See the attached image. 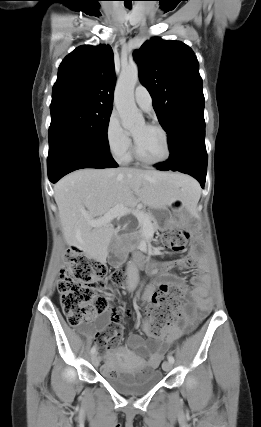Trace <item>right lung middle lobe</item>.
I'll return each instance as SVG.
<instances>
[{
    "mask_svg": "<svg viewBox=\"0 0 261 427\" xmlns=\"http://www.w3.org/2000/svg\"><path fill=\"white\" fill-rule=\"evenodd\" d=\"M112 108L67 105L50 109L49 151L78 146L109 152L107 129Z\"/></svg>",
    "mask_w": 261,
    "mask_h": 427,
    "instance_id": "1",
    "label": "right lung middle lobe"
}]
</instances>
